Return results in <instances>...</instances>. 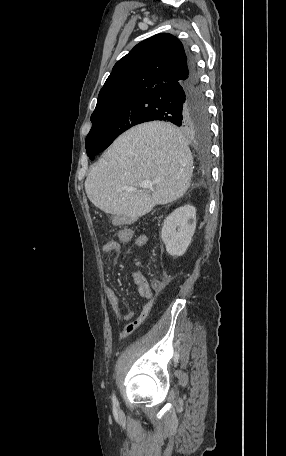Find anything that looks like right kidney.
Instances as JSON below:
<instances>
[{"instance_id":"right-kidney-1","label":"right kidney","mask_w":286,"mask_h":456,"mask_svg":"<svg viewBox=\"0 0 286 456\" xmlns=\"http://www.w3.org/2000/svg\"><path fill=\"white\" fill-rule=\"evenodd\" d=\"M196 228V209L185 205L174 210L164 221L161 238L171 256L183 255Z\"/></svg>"}]
</instances>
